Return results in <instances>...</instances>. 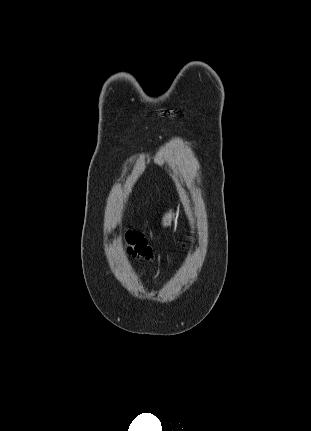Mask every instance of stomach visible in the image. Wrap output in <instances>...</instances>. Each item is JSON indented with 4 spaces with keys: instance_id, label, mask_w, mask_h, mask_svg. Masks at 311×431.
Masks as SVG:
<instances>
[{
    "instance_id": "0dacf381",
    "label": "stomach",
    "mask_w": 311,
    "mask_h": 431,
    "mask_svg": "<svg viewBox=\"0 0 311 431\" xmlns=\"http://www.w3.org/2000/svg\"><path fill=\"white\" fill-rule=\"evenodd\" d=\"M175 217L174 210H167L165 214L161 217V225L162 227H169V225H172V221Z\"/></svg>"
}]
</instances>
